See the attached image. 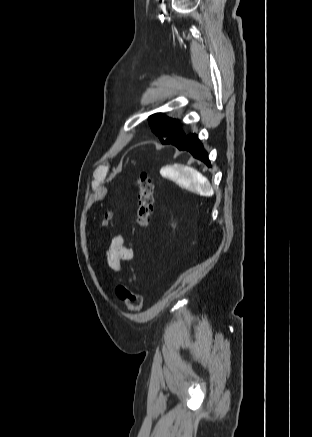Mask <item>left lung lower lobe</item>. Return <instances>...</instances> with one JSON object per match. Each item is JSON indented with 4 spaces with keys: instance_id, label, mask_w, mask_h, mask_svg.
<instances>
[{
    "instance_id": "obj_1",
    "label": "left lung lower lobe",
    "mask_w": 312,
    "mask_h": 437,
    "mask_svg": "<svg viewBox=\"0 0 312 437\" xmlns=\"http://www.w3.org/2000/svg\"><path fill=\"white\" fill-rule=\"evenodd\" d=\"M168 144L176 146L179 150L190 152L195 158L203 161L207 166H210L207 152L203 149V145L195 133L187 134L181 140L173 141Z\"/></svg>"
}]
</instances>
